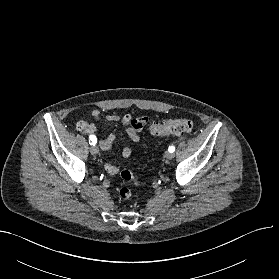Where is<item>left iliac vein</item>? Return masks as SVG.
<instances>
[{"instance_id":"obj_1","label":"left iliac vein","mask_w":279,"mask_h":279,"mask_svg":"<svg viewBox=\"0 0 279 279\" xmlns=\"http://www.w3.org/2000/svg\"><path fill=\"white\" fill-rule=\"evenodd\" d=\"M174 153L173 152H166L165 157L169 160L174 158Z\"/></svg>"}]
</instances>
